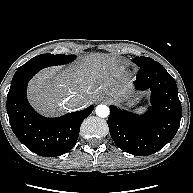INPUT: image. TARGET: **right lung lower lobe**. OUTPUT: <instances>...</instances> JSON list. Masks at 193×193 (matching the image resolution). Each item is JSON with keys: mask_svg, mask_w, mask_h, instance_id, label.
Instances as JSON below:
<instances>
[{"mask_svg": "<svg viewBox=\"0 0 193 193\" xmlns=\"http://www.w3.org/2000/svg\"><path fill=\"white\" fill-rule=\"evenodd\" d=\"M43 68L38 65L18 68L7 95V112L11 128L21 143L40 156L55 157L74 147L80 126L94 107L59 118H45L36 113L28 103L26 88L30 79Z\"/></svg>", "mask_w": 193, "mask_h": 193, "instance_id": "right-lung-lower-lobe-1", "label": "right lung lower lobe"}]
</instances>
